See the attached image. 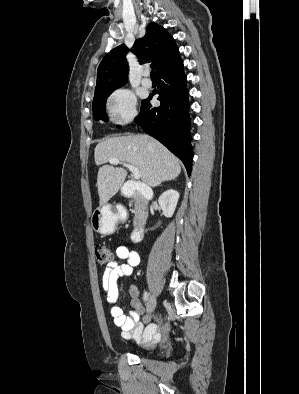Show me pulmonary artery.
<instances>
[{
  "label": "pulmonary artery",
  "mask_w": 299,
  "mask_h": 394,
  "mask_svg": "<svg viewBox=\"0 0 299 394\" xmlns=\"http://www.w3.org/2000/svg\"><path fill=\"white\" fill-rule=\"evenodd\" d=\"M142 85L146 88H150L152 86V81L148 77V73L145 74V77L142 80Z\"/></svg>",
  "instance_id": "e3ab8cb5"
}]
</instances>
